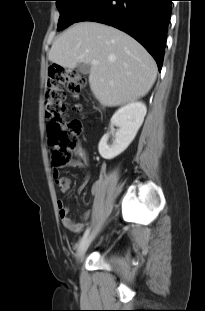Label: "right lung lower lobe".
<instances>
[{"mask_svg": "<svg viewBox=\"0 0 205 311\" xmlns=\"http://www.w3.org/2000/svg\"><path fill=\"white\" fill-rule=\"evenodd\" d=\"M172 0H95L76 22L116 27L140 42L162 68Z\"/></svg>", "mask_w": 205, "mask_h": 311, "instance_id": "obj_1", "label": "right lung lower lobe"}]
</instances>
